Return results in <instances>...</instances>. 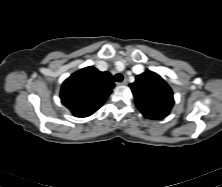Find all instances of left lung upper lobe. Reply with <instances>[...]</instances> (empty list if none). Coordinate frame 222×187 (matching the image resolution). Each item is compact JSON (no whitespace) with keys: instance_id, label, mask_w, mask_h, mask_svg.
Listing matches in <instances>:
<instances>
[{"instance_id":"obj_1","label":"left lung upper lobe","mask_w":222,"mask_h":187,"mask_svg":"<svg viewBox=\"0 0 222 187\" xmlns=\"http://www.w3.org/2000/svg\"><path fill=\"white\" fill-rule=\"evenodd\" d=\"M129 86L137 108L145 117L164 118L170 113L174 105L173 92L158 74L146 70Z\"/></svg>"}]
</instances>
